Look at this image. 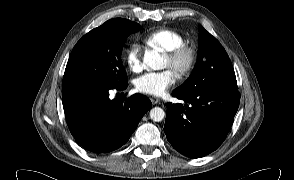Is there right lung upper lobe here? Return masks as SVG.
I'll list each match as a JSON object with an SVG mask.
<instances>
[{"mask_svg":"<svg viewBox=\"0 0 294 180\" xmlns=\"http://www.w3.org/2000/svg\"><path fill=\"white\" fill-rule=\"evenodd\" d=\"M108 23H124V24H132L134 22L128 20V19H123V18H114V19H110L108 21H106L104 24H108Z\"/></svg>","mask_w":294,"mask_h":180,"instance_id":"obj_1","label":"right lung upper lobe"}]
</instances>
